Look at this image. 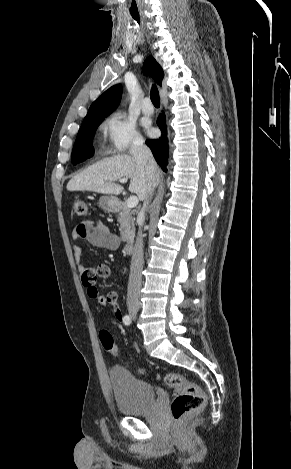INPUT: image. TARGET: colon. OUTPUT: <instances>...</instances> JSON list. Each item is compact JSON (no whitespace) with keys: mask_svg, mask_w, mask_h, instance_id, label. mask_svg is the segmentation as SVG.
<instances>
[{"mask_svg":"<svg viewBox=\"0 0 291 469\" xmlns=\"http://www.w3.org/2000/svg\"><path fill=\"white\" fill-rule=\"evenodd\" d=\"M71 212L76 217H84L88 213L87 202L82 198H76L72 203ZM98 308L105 306V301L99 296L93 299ZM101 345L107 353L112 356H118L119 350L114 343L110 332L102 330L99 333ZM160 378L176 394L171 402V415L174 420L179 421L191 412L200 410L204 407L206 396L199 385L189 381L180 373H166Z\"/></svg>","mask_w":291,"mask_h":469,"instance_id":"obj_1","label":"colon"}]
</instances>
